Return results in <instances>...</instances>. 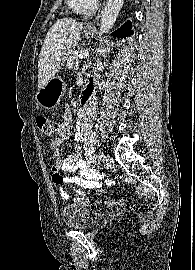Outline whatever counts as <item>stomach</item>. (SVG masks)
Here are the masks:
<instances>
[{"instance_id": "1", "label": "stomach", "mask_w": 195, "mask_h": 270, "mask_svg": "<svg viewBox=\"0 0 195 270\" xmlns=\"http://www.w3.org/2000/svg\"><path fill=\"white\" fill-rule=\"evenodd\" d=\"M85 35L93 36L94 30L85 29ZM66 92V84L61 78L53 77L46 85L38 90L36 94L37 103L46 108L50 109L55 107Z\"/></svg>"}]
</instances>
